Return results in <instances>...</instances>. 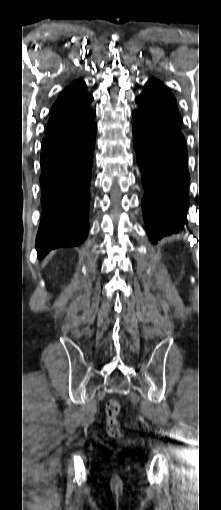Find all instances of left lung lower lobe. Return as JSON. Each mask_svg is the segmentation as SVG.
Here are the masks:
<instances>
[{"mask_svg":"<svg viewBox=\"0 0 221 510\" xmlns=\"http://www.w3.org/2000/svg\"><path fill=\"white\" fill-rule=\"evenodd\" d=\"M133 144L145 194L142 200L152 243L187 224V150L184 139L171 135L138 110L132 114Z\"/></svg>","mask_w":221,"mask_h":510,"instance_id":"left-lung-lower-lobe-1","label":"left lung lower lobe"}]
</instances>
